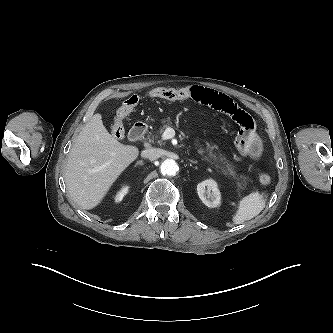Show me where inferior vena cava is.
I'll list each match as a JSON object with an SVG mask.
<instances>
[{
    "instance_id": "1",
    "label": "inferior vena cava",
    "mask_w": 333,
    "mask_h": 333,
    "mask_svg": "<svg viewBox=\"0 0 333 333\" xmlns=\"http://www.w3.org/2000/svg\"><path fill=\"white\" fill-rule=\"evenodd\" d=\"M141 156L143 158H147L151 161H154L161 156V150L157 149V148H149V149L143 150L141 153Z\"/></svg>"
}]
</instances>
